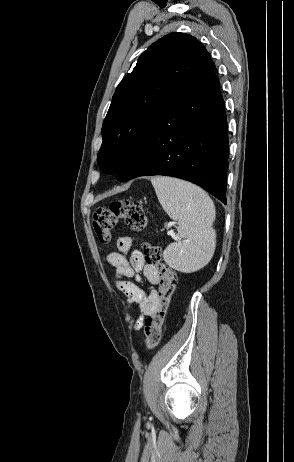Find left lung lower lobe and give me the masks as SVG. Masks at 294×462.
Returning <instances> with one entry per match:
<instances>
[{
	"label": "left lung lower lobe",
	"mask_w": 294,
	"mask_h": 462,
	"mask_svg": "<svg viewBox=\"0 0 294 462\" xmlns=\"http://www.w3.org/2000/svg\"><path fill=\"white\" fill-rule=\"evenodd\" d=\"M212 72L162 110L118 171L119 181L164 175L195 183L226 204L225 104Z\"/></svg>",
	"instance_id": "1"
}]
</instances>
